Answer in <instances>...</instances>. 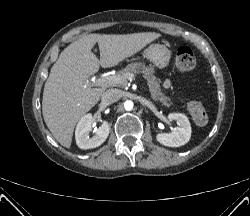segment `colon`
Here are the masks:
<instances>
[{
	"instance_id": "obj_1",
	"label": "colon",
	"mask_w": 250,
	"mask_h": 216,
	"mask_svg": "<svg viewBox=\"0 0 250 216\" xmlns=\"http://www.w3.org/2000/svg\"><path fill=\"white\" fill-rule=\"evenodd\" d=\"M176 65L179 70L184 72L191 71L195 68L196 58L189 47L182 46L178 49ZM187 107L192 119L197 125H205L208 122L207 111L200 101L191 99Z\"/></svg>"
}]
</instances>
